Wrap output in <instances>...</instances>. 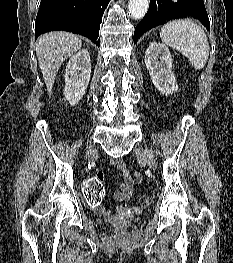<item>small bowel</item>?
<instances>
[{
	"mask_svg": "<svg viewBox=\"0 0 233 263\" xmlns=\"http://www.w3.org/2000/svg\"><path fill=\"white\" fill-rule=\"evenodd\" d=\"M111 163L113 167L118 171L120 176V186L119 189L114 192V199L118 202L128 201L133 195L135 185L141 181L140 174L136 173L134 177H132L126 164L120 159H113ZM94 209L99 214L105 213L104 206L102 205V200L101 204L98 205V208ZM125 209L126 205L124 203L120 204L117 208L119 212H122Z\"/></svg>",
	"mask_w": 233,
	"mask_h": 263,
	"instance_id": "small-bowel-1",
	"label": "small bowel"
}]
</instances>
